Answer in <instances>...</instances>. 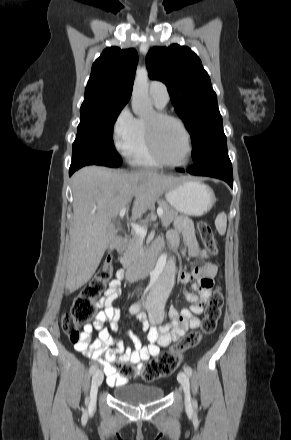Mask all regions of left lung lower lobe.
<instances>
[{"label":"left lung lower lobe","mask_w":291,"mask_h":440,"mask_svg":"<svg viewBox=\"0 0 291 440\" xmlns=\"http://www.w3.org/2000/svg\"><path fill=\"white\" fill-rule=\"evenodd\" d=\"M184 172L183 169H177ZM192 175L210 176L226 181L233 188L232 164L228 156L227 145L221 146L199 163L187 169Z\"/></svg>","instance_id":"left-lung-lower-lobe-1"}]
</instances>
